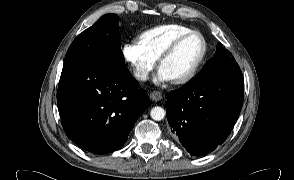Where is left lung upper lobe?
<instances>
[{
	"label": "left lung upper lobe",
	"instance_id": "5c2ea615",
	"mask_svg": "<svg viewBox=\"0 0 294 180\" xmlns=\"http://www.w3.org/2000/svg\"><path fill=\"white\" fill-rule=\"evenodd\" d=\"M241 70L232 56L222 44L217 46L215 55L207 61L203 69L189 82H203L222 74H237Z\"/></svg>",
	"mask_w": 294,
	"mask_h": 180
}]
</instances>
